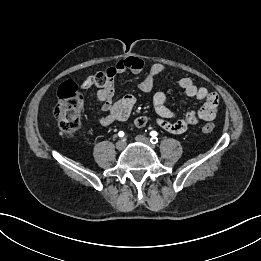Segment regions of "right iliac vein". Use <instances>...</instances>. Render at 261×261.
<instances>
[{
  "label": "right iliac vein",
  "instance_id": "63e3f726",
  "mask_svg": "<svg viewBox=\"0 0 261 261\" xmlns=\"http://www.w3.org/2000/svg\"><path fill=\"white\" fill-rule=\"evenodd\" d=\"M126 146V142L125 140H119L117 143H116V148L118 150H123Z\"/></svg>",
  "mask_w": 261,
  "mask_h": 261
}]
</instances>
